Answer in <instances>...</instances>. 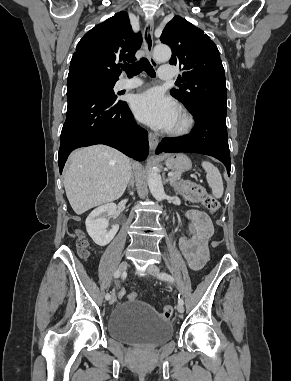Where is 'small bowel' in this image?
<instances>
[{
	"mask_svg": "<svg viewBox=\"0 0 291 381\" xmlns=\"http://www.w3.org/2000/svg\"><path fill=\"white\" fill-rule=\"evenodd\" d=\"M187 217L190 220L187 226L190 238H180L179 248L189 267L197 270L207 258V245L213 234V227L208 215L200 210H189Z\"/></svg>",
	"mask_w": 291,
	"mask_h": 381,
	"instance_id": "c3829d8e",
	"label": "small bowel"
}]
</instances>
